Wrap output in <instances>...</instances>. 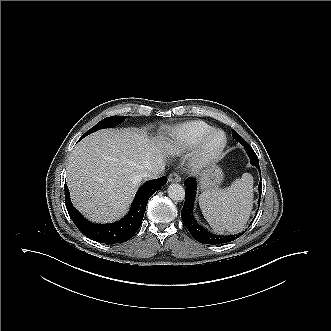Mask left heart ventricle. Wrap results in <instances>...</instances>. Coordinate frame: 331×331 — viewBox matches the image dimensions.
Here are the masks:
<instances>
[{"label": "left heart ventricle", "mask_w": 331, "mask_h": 331, "mask_svg": "<svg viewBox=\"0 0 331 331\" xmlns=\"http://www.w3.org/2000/svg\"><path fill=\"white\" fill-rule=\"evenodd\" d=\"M221 140H222V137H221V135L220 134H217V135H215L213 138H212V140L210 141V144H211V146H217L218 144H220V142H221Z\"/></svg>", "instance_id": "left-heart-ventricle-1"}]
</instances>
